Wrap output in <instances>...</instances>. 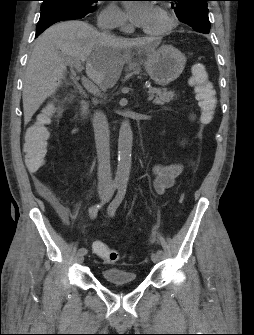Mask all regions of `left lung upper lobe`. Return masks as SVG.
I'll return each instance as SVG.
<instances>
[{
	"instance_id": "left-lung-upper-lobe-1",
	"label": "left lung upper lobe",
	"mask_w": 254,
	"mask_h": 335,
	"mask_svg": "<svg viewBox=\"0 0 254 335\" xmlns=\"http://www.w3.org/2000/svg\"><path fill=\"white\" fill-rule=\"evenodd\" d=\"M179 20L191 26L195 31L207 34L210 31L208 4L210 0H168Z\"/></svg>"
}]
</instances>
